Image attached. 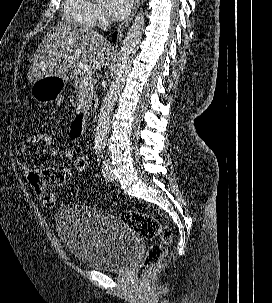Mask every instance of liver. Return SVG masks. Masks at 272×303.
I'll return each mask as SVG.
<instances>
[{
	"label": "liver",
	"instance_id": "liver-1",
	"mask_svg": "<svg viewBox=\"0 0 272 303\" xmlns=\"http://www.w3.org/2000/svg\"><path fill=\"white\" fill-rule=\"evenodd\" d=\"M110 47L102 35L84 25L61 23L39 44L29 67L31 83L45 77H63L69 71L88 74L100 70Z\"/></svg>",
	"mask_w": 272,
	"mask_h": 303
}]
</instances>
